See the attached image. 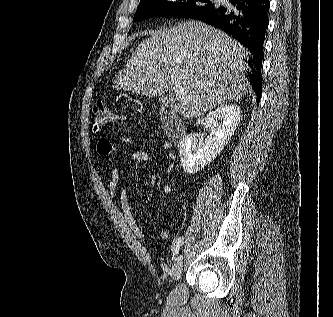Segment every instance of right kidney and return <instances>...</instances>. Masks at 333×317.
<instances>
[{
  "instance_id": "1",
  "label": "right kidney",
  "mask_w": 333,
  "mask_h": 317,
  "mask_svg": "<svg viewBox=\"0 0 333 317\" xmlns=\"http://www.w3.org/2000/svg\"><path fill=\"white\" fill-rule=\"evenodd\" d=\"M241 118L238 105L226 104L210 112L206 118V126L210 135L203 145L196 146V138L189 134L180 145L179 156L183 170L188 174H196L210 164L230 141ZM222 121V124H219Z\"/></svg>"
}]
</instances>
